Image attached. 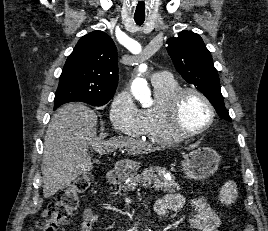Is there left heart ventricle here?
<instances>
[{"instance_id":"b2bd125f","label":"left heart ventricle","mask_w":268,"mask_h":231,"mask_svg":"<svg viewBox=\"0 0 268 231\" xmlns=\"http://www.w3.org/2000/svg\"><path fill=\"white\" fill-rule=\"evenodd\" d=\"M180 128L193 131L207 123L210 113L207 105L196 95L187 94L180 105Z\"/></svg>"}]
</instances>
